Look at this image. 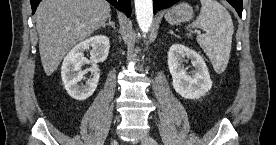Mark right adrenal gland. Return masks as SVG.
<instances>
[{
    "mask_svg": "<svg viewBox=\"0 0 276 145\" xmlns=\"http://www.w3.org/2000/svg\"><path fill=\"white\" fill-rule=\"evenodd\" d=\"M106 26H112L115 28V23L111 20V16L108 19V23L104 24L102 27L105 28Z\"/></svg>",
    "mask_w": 276,
    "mask_h": 145,
    "instance_id": "1",
    "label": "right adrenal gland"
}]
</instances>
